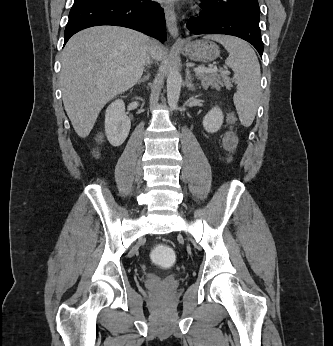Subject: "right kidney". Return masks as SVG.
Listing matches in <instances>:
<instances>
[{"label": "right kidney", "instance_id": "obj_1", "mask_svg": "<svg viewBox=\"0 0 333 346\" xmlns=\"http://www.w3.org/2000/svg\"><path fill=\"white\" fill-rule=\"evenodd\" d=\"M131 127L130 119L125 114L122 99L112 102L105 113V133L109 143L118 147L126 140Z\"/></svg>", "mask_w": 333, "mask_h": 346}]
</instances>
